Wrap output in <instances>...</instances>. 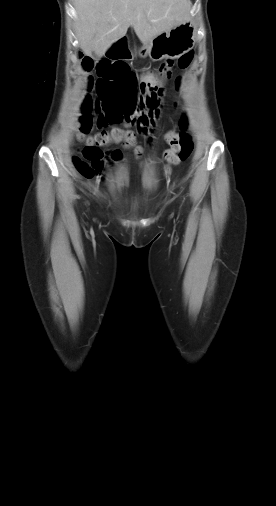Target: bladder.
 <instances>
[{"instance_id": "obj_1", "label": "bladder", "mask_w": 276, "mask_h": 506, "mask_svg": "<svg viewBox=\"0 0 276 506\" xmlns=\"http://www.w3.org/2000/svg\"><path fill=\"white\" fill-rule=\"evenodd\" d=\"M135 199H136V197L132 196V197H128L126 200H128V201H133V200H135Z\"/></svg>"}]
</instances>
